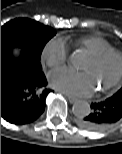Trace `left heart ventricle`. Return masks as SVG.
<instances>
[{
  "label": "left heart ventricle",
  "instance_id": "b2bd125f",
  "mask_svg": "<svg viewBox=\"0 0 122 154\" xmlns=\"http://www.w3.org/2000/svg\"><path fill=\"white\" fill-rule=\"evenodd\" d=\"M82 71L88 73L94 87H101L110 82L117 71V60L109 59L104 64L96 65L90 58L83 66Z\"/></svg>",
  "mask_w": 122,
  "mask_h": 154
}]
</instances>
